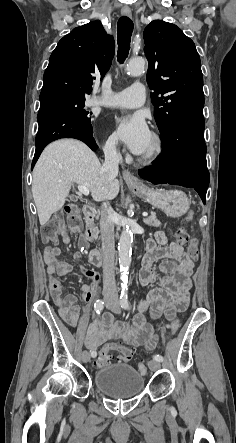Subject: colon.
I'll use <instances>...</instances> for the list:
<instances>
[{
	"mask_svg": "<svg viewBox=\"0 0 236 443\" xmlns=\"http://www.w3.org/2000/svg\"><path fill=\"white\" fill-rule=\"evenodd\" d=\"M191 216L187 217L190 220ZM65 226H67L71 232L77 233L82 226V215L79 206L71 204L66 207L65 221L60 218H55L46 224L42 229V239L45 243H57L58 240L65 235ZM175 240L179 245L188 244V255L192 260L198 258L197 241L191 238L184 227H179L175 231ZM180 324L177 320L170 323L169 329L172 337H175L179 332ZM132 357V350L128 347L107 345L99 353L95 365L98 367H104L111 364L114 361L128 362ZM138 370L142 374H146L147 367L145 362L138 364Z\"/></svg>",
	"mask_w": 236,
	"mask_h": 443,
	"instance_id": "colon-1",
	"label": "colon"
}]
</instances>
